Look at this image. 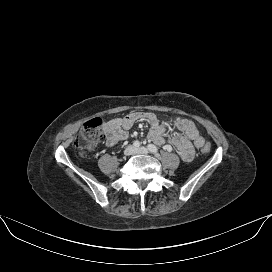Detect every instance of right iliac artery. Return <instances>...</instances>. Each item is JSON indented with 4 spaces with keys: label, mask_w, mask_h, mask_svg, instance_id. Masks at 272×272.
I'll list each match as a JSON object with an SVG mask.
<instances>
[{
    "label": "right iliac artery",
    "mask_w": 272,
    "mask_h": 272,
    "mask_svg": "<svg viewBox=\"0 0 272 272\" xmlns=\"http://www.w3.org/2000/svg\"><path fill=\"white\" fill-rule=\"evenodd\" d=\"M133 146L136 147V148H138V147L140 146V142L137 141V140L134 141V142H133Z\"/></svg>",
    "instance_id": "82829eb1"
}]
</instances>
